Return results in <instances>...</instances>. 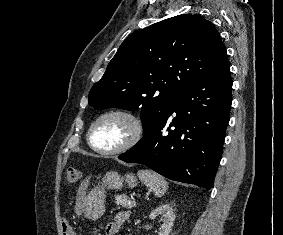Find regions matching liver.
Wrapping results in <instances>:
<instances>
[{"label": "liver", "mask_w": 283, "mask_h": 235, "mask_svg": "<svg viewBox=\"0 0 283 235\" xmlns=\"http://www.w3.org/2000/svg\"><path fill=\"white\" fill-rule=\"evenodd\" d=\"M88 183H89V178L88 179H86L82 184H81V186H80V188H79V191H78V194L80 195H84L85 194V190H86V188H87V186H88Z\"/></svg>", "instance_id": "6515ba94"}]
</instances>
